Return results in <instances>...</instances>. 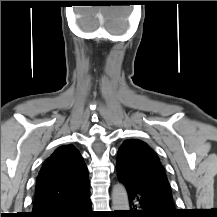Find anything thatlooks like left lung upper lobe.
I'll list each match as a JSON object with an SVG mask.
<instances>
[{
  "label": "left lung upper lobe",
  "instance_id": "left-lung-upper-lobe-1",
  "mask_svg": "<svg viewBox=\"0 0 217 217\" xmlns=\"http://www.w3.org/2000/svg\"><path fill=\"white\" fill-rule=\"evenodd\" d=\"M116 170L125 186L173 200L165 169L145 142L137 139L124 141L117 153Z\"/></svg>",
  "mask_w": 217,
  "mask_h": 217
}]
</instances>
